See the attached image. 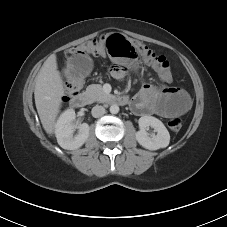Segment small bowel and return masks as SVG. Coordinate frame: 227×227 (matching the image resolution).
<instances>
[{"label":"small bowel","instance_id":"1","mask_svg":"<svg viewBox=\"0 0 227 227\" xmlns=\"http://www.w3.org/2000/svg\"><path fill=\"white\" fill-rule=\"evenodd\" d=\"M136 63L115 62L111 75L117 80H124L129 69L136 70ZM91 69V60L83 53L74 54L62 68L63 77L73 83L80 84ZM131 107L137 115L157 114L172 117L185 113L190 107V98L181 88H159L144 83L131 101Z\"/></svg>","mask_w":227,"mask_h":227}]
</instances>
